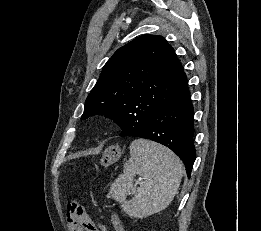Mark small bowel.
<instances>
[{"label": "small bowel", "mask_w": 261, "mask_h": 231, "mask_svg": "<svg viewBox=\"0 0 261 231\" xmlns=\"http://www.w3.org/2000/svg\"><path fill=\"white\" fill-rule=\"evenodd\" d=\"M89 216V215H88ZM93 222L94 230L93 231H107L105 224L102 221ZM67 229L68 231H83L80 225L70 223L67 221Z\"/></svg>", "instance_id": "obj_1"}]
</instances>
